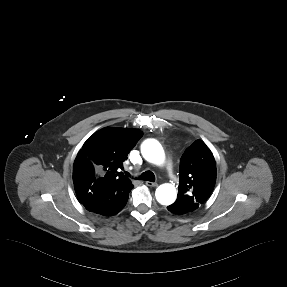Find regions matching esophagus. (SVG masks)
Masks as SVG:
<instances>
[{"label": "esophagus", "instance_id": "esophagus-1", "mask_svg": "<svg viewBox=\"0 0 287 287\" xmlns=\"http://www.w3.org/2000/svg\"><path fill=\"white\" fill-rule=\"evenodd\" d=\"M145 184H146L147 186H149V187H157V186H158L157 183L150 182V181L145 182Z\"/></svg>", "mask_w": 287, "mask_h": 287}]
</instances>
